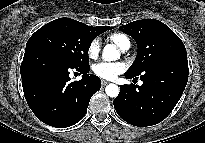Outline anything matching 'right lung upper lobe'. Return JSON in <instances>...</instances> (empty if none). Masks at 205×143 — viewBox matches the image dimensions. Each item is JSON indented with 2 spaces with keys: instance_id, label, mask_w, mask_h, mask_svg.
I'll use <instances>...</instances> for the list:
<instances>
[{
  "instance_id": "obj_1",
  "label": "right lung upper lobe",
  "mask_w": 205,
  "mask_h": 143,
  "mask_svg": "<svg viewBox=\"0 0 205 143\" xmlns=\"http://www.w3.org/2000/svg\"><path fill=\"white\" fill-rule=\"evenodd\" d=\"M88 27L92 31V33L96 36L107 31V30L112 29V27H108V26H97V27L88 26Z\"/></svg>"
}]
</instances>
